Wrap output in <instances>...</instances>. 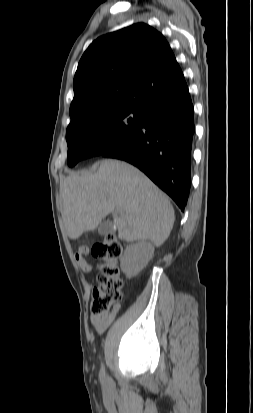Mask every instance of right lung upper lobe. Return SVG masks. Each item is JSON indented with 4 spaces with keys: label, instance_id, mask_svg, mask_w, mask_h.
Returning a JSON list of instances; mask_svg holds the SVG:
<instances>
[{
    "label": "right lung upper lobe",
    "instance_id": "obj_1",
    "mask_svg": "<svg viewBox=\"0 0 253 413\" xmlns=\"http://www.w3.org/2000/svg\"><path fill=\"white\" fill-rule=\"evenodd\" d=\"M73 88L71 120L108 107L145 110L189 92L168 42L144 23L92 42L79 61Z\"/></svg>",
    "mask_w": 253,
    "mask_h": 413
}]
</instances>
